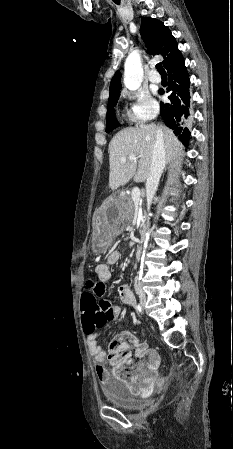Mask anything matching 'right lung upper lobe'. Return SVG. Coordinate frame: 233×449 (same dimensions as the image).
I'll list each match as a JSON object with an SVG mask.
<instances>
[{
    "label": "right lung upper lobe",
    "instance_id": "obj_1",
    "mask_svg": "<svg viewBox=\"0 0 233 449\" xmlns=\"http://www.w3.org/2000/svg\"><path fill=\"white\" fill-rule=\"evenodd\" d=\"M141 21L140 33L149 53L153 55L161 54L164 58L162 63L167 71L184 60L168 27L154 18L143 17ZM120 90L121 74L117 71L110 83L109 97L120 94Z\"/></svg>",
    "mask_w": 233,
    "mask_h": 449
}]
</instances>
